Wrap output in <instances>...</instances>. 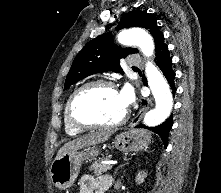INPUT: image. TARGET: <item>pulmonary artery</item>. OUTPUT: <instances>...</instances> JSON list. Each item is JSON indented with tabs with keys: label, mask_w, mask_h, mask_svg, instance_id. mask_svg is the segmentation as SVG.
I'll list each match as a JSON object with an SVG mask.
<instances>
[{
	"label": "pulmonary artery",
	"mask_w": 221,
	"mask_h": 193,
	"mask_svg": "<svg viewBox=\"0 0 221 193\" xmlns=\"http://www.w3.org/2000/svg\"><path fill=\"white\" fill-rule=\"evenodd\" d=\"M142 63L140 57L136 54H133L131 57H130V60H129V64L130 65H140Z\"/></svg>",
	"instance_id": "1"
}]
</instances>
